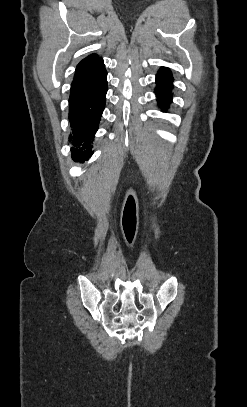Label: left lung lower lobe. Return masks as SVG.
<instances>
[{
  "instance_id": "left-lung-lower-lobe-1",
  "label": "left lung lower lobe",
  "mask_w": 247,
  "mask_h": 407,
  "mask_svg": "<svg viewBox=\"0 0 247 407\" xmlns=\"http://www.w3.org/2000/svg\"><path fill=\"white\" fill-rule=\"evenodd\" d=\"M173 81L171 71L166 67H162L156 75L157 86L155 93L158 104L163 110L167 109L172 102Z\"/></svg>"
}]
</instances>
